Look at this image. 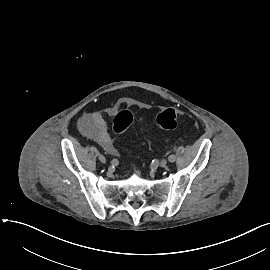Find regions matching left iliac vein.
<instances>
[{"mask_svg":"<svg viewBox=\"0 0 270 270\" xmlns=\"http://www.w3.org/2000/svg\"><path fill=\"white\" fill-rule=\"evenodd\" d=\"M167 165V160L166 159H163L159 162V166L160 167H165Z\"/></svg>","mask_w":270,"mask_h":270,"instance_id":"1","label":"left iliac vein"}]
</instances>
